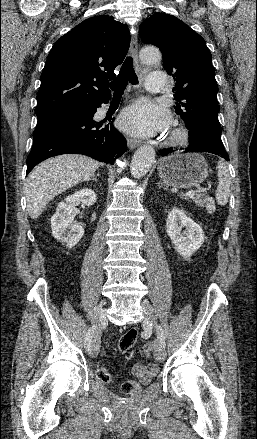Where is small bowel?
<instances>
[{"label": "small bowel", "instance_id": "obj_1", "mask_svg": "<svg viewBox=\"0 0 257 439\" xmlns=\"http://www.w3.org/2000/svg\"><path fill=\"white\" fill-rule=\"evenodd\" d=\"M157 372H158V368L155 364H149L148 366H146L140 362L136 363L132 369L133 375L142 384L150 383L153 380V378L156 376Z\"/></svg>", "mask_w": 257, "mask_h": 439}]
</instances>
